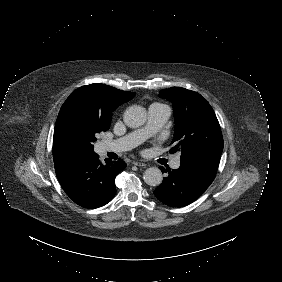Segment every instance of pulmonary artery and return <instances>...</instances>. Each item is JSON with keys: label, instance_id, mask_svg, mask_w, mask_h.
<instances>
[{"label": "pulmonary artery", "instance_id": "obj_1", "mask_svg": "<svg viewBox=\"0 0 282 282\" xmlns=\"http://www.w3.org/2000/svg\"><path fill=\"white\" fill-rule=\"evenodd\" d=\"M171 115V108L168 105L161 103H153L148 108L147 124L139 129H136L122 138L107 141L104 143V149L107 152H122L130 150L139 145L146 138L155 134L168 120ZM180 159L173 161L172 167L178 168Z\"/></svg>", "mask_w": 282, "mask_h": 282}]
</instances>
